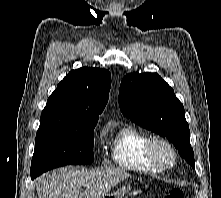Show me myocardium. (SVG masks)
<instances>
[{
    "mask_svg": "<svg viewBox=\"0 0 221 198\" xmlns=\"http://www.w3.org/2000/svg\"><path fill=\"white\" fill-rule=\"evenodd\" d=\"M166 149L170 154V161L166 162L161 158L160 149ZM148 160L160 170H168L175 166L178 154L174 145L163 137H151L146 146Z\"/></svg>",
    "mask_w": 221,
    "mask_h": 198,
    "instance_id": "obj_1",
    "label": "myocardium"
}]
</instances>
